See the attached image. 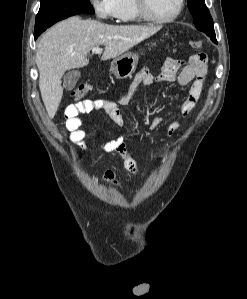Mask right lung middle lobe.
<instances>
[{"instance_id":"1","label":"right lung middle lobe","mask_w":247,"mask_h":299,"mask_svg":"<svg viewBox=\"0 0 247 299\" xmlns=\"http://www.w3.org/2000/svg\"><path fill=\"white\" fill-rule=\"evenodd\" d=\"M80 13H94L89 0H41L34 36L40 35L54 23Z\"/></svg>"}]
</instances>
